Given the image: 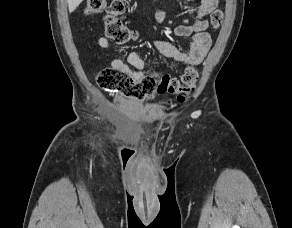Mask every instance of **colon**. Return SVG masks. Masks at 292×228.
I'll use <instances>...</instances> for the list:
<instances>
[{
    "label": "colon",
    "instance_id": "colon-1",
    "mask_svg": "<svg viewBox=\"0 0 292 228\" xmlns=\"http://www.w3.org/2000/svg\"><path fill=\"white\" fill-rule=\"evenodd\" d=\"M86 15L106 13L104 21L105 34L117 44H125L136 38V32L126 26L121 16L125 12V0H87ZM223 22L221 10L211 15V24L218 29ZM198 73L194 68L184 70L180 80L163 76L160 80L154 74L144 75L135 80L126 72L114 68H105L99 72L96 82L101 89L110 93H120L127 97L143 100L154 93H171L177 102H184L195 90Z\"/></svg>",
    "mask_w": 292,
    "mask_h": 228
}]
</instances>
